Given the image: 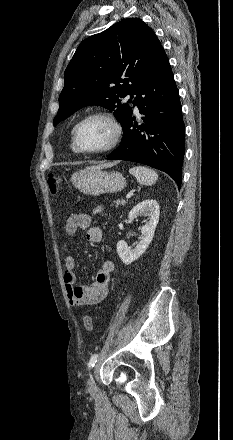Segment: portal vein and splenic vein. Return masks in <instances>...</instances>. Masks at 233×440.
Masks as SVG:
<instances>
[{"label": "portal vein and splenic vein", "mask_w": 233, "mask_h": 440, "mask_svg": "<svg viewBox=\"0 0 233 440\" xmlns=\"http://www.w3.org/2000/svg\"><path fill=\"white\" fill-rule=\"evenodd\" d=\"M129 198H131V194H128V195L126 196V199H129Z\"/></svg>", "instance_id": "18ae733b"}]
</instances>
